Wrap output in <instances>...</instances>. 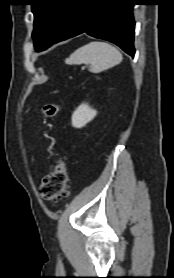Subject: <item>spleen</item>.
I'll return each mask as SVG.
<instances>
[{
  "label": "spleen",
  "mask_w": 174,
  "mask_h": 278,
  "mask_svg": "<svg viewBox=\"0 0 174 278\" xmlns=\"http://www.w3.org/2000/svg\"><path fill=\"white\" fill-rule=\"evenodd\" d=\"M122 59V54L114 46L94 41L78 48L66 62L70 65L86 64L89 65L90 72L100 73L118 65Z\"/></svg>",
  "instance_id": "3e777b00"
}]
</instances>
